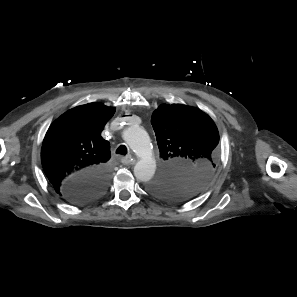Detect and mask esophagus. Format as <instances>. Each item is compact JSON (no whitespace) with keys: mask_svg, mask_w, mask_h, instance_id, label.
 Here are the masks:
<instances>
[{"mask_svg":"<svg viewBox=\"0 0 297 297\" xmlns=\"http://www.w3.org/2000/svg\"><path fill=\"white\" fill-rule=\"evenodd\" d=\"M121 162L124 164V165H131V164H134L135 161L130 158V157H122L121 158Z\"/></svg>","mask_w":297,"mask_h":297,"instance_id":"obj_1","label":"esophagus"}]
</instances>
